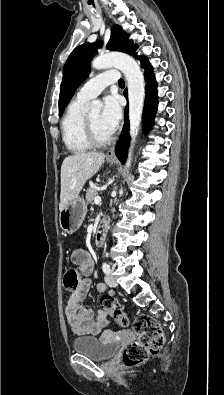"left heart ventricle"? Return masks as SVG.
Here are the masks:
<instances>
[{
  "label": "left heart ventricle",
  "mask_w": 224,
  "mask_h": 395,
  "mask_svg": "<svg viewBox=\"0 0 224 395\" xmlns=\"http://www.w3.org/2000/svg\"><path fill=\"white\" fill-rule=\"evenodd\" d=\"M100 115H101L100 111H95V112L88 114L89 119L92 123V126L96 132V135L99 138L104 139V138L108 137L109 135H111V133L108 132V130L105 129L104 126L102 125Z\"/></svg>",
  "instance_id": "obj_1"
}]
</instances>
